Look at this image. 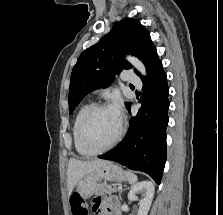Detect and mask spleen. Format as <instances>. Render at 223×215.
I'll list each match as a JSON object with an SVG mask.
<instances>
[{
	"label": "spleen",
	"instance_id": "1",
	"mask_svg": "<svg viewBox=\"0 0 223 215\" xmlns=\"http://www.w3.org/2000/svg\"><path fill=\"white\" fill-rule=\"evenodd\" d=\"M125 173L127 175L129 183H136L137 175H135V173H131V171H125Z\"/></svg>",
	"mask_w": 223,
	"mask_h": 215
}]
</instances>
